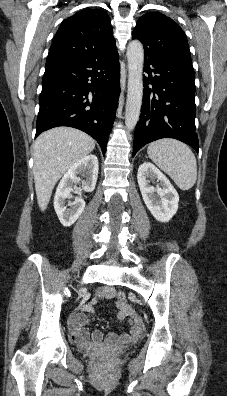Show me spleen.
I'll return each instance as SVG.
<instances>
[{"instance_id": "3e777b00", "label": "spleen", "mask_w": 227, "mask_h": 396, "mask_svg": "<svg viewBox=\"0 0 227 396\" xmlns=\"http://www.w3.org/2000/svg\"><path fill=\"white\" fill-rule=\"evenodd\" d=\"M147 153L181 190H189L194 186L197 162L186 144L174 139H161L149 144Z\"/></svg>"}]
</instances>
